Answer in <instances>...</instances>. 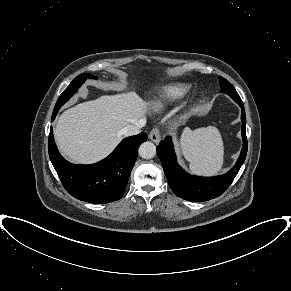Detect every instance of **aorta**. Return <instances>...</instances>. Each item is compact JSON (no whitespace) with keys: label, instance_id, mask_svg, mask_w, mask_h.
<instances>
[{"label":"aorta","instance_id":"aorta-1","mask_svg":"<svg viewBox=\"0 0 291 291\" xmlns=\"http://www.w3.org/2000/svg\"><path fill=\"white\" fill-rule=\"evenodd\" d=\"M138 152L142 158L151 159L156 155V146L152 142L146 141L140 145Z\"/></svg>","mask_w":291,"mask_h":291}]
</instances>
